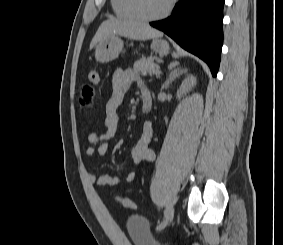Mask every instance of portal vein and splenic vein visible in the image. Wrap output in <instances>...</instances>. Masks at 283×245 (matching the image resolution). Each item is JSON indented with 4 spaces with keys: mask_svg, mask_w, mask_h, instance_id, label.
I'll use <instances>...</instances> for the list:
<instances>
[{
    "mask_svg": "<svg viewBox=\"0 0 283 245\" xmlns=\"http://www.w3.org/2000/svg\"><path fill=\"white\" fill-rule=\"evenodd\" d=\"M153 73L160 74L161 71L159 70V67H157L156 69H154V70H153Z\"/></svg>",
    "mask_w": 283,
    "mask_h": 245,
    "instance_id": "obj_1",
    "label": "portal vein and splenic vein"
}]
</instances>
